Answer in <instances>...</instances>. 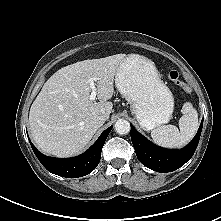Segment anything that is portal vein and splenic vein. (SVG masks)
<instances>
[{"label":"portal vein and splenic vein","mask_w":221,"mask_h":221,"mask_svg":"<svg viewBox=\"0 0 221 221\" xmlns=\"http://www.w3.org/2000/svg\"><path fill=\"white\" fill-rule=\"evenodd\" d=\"M88 82H89L90 88L92 90L89 99L91 101H94L96 99V96H97V89H96V86H95V78H90L88 80Z\"/></svg>","instance_id":"obj_1"}]
</instances>
